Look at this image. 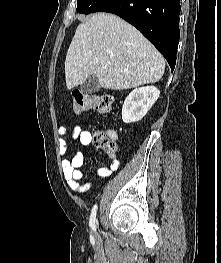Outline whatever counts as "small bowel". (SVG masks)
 <instances>
[{
	"instance_id": "c3829d8e",
	"label": "small bowel",
	"mask_w": 221,
	"mask_h": 263,
	"mask_svg": "<svg viewBox=\"0 0 221 263\" xmlns=\"http://www.w3.org/2000/svg\"><path fill=\"white\" fill-rule=\"evenodd\" d=\"M58 146L62 155V168L65 180L71 190L75 192H86L92 187V176L109 177L111 174L119 168V161L114 154H109L111 159L108 167H100L92 172L91 177L81 182L83 173L80 171V167L84 162V154L81 151H76L74 155L69 158L67 156L68 146L67 137L71 136L74 142L79 143L82 146H89L92 143V135L88 130H84L79 126L69 129L67 127H60L58 130ZM109 136L112 139L116 138V133L109 132Z\"/></svg>"
}]
</instances>
